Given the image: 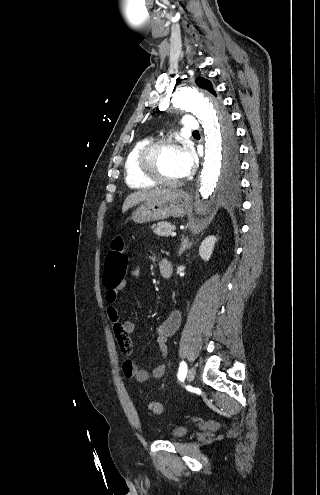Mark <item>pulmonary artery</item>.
Returning <instances> with one entry per match:
<instances>
[{
	"mask_svg": "<svg viewBox=\"0 0 320 495\" xmlns=\"http://www.w3.org/2000/svg\"><path fill=\"white\" fill-rule=\"evenodd\" d=\"M182 128L185 131H198L199 123L193 116H184L182 119Z\"/></svg>",
	"mask_w": 320,
	"mask_h": 495,
	"instance_id": "pulmonary-artery-1",
	"label": "pulmonary artery"
}]
</instances>
